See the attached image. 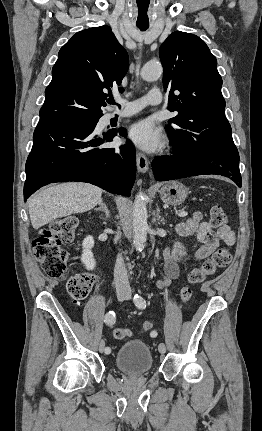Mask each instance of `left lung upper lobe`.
<instances>
[{"instance_id": "left-lung-upper-lobe-1", "label": "left lung upper lobe", "mask_w": 262, "mask_h": 431, "mask_svg": "<svg viewBox=\"0 0 262 431\" xmlns=\"http://www.w3.org/2000/svg\"><path fill=\"white\" fill-rule=\"evenodd\" d=\"M168 109L178 111L165 127L173 150L194 155H217L234 145L225 117V100L217 60L198 36L173 32L159 49ZM176 91V95L174 94Z\"/></svg>"}]
</instances>
